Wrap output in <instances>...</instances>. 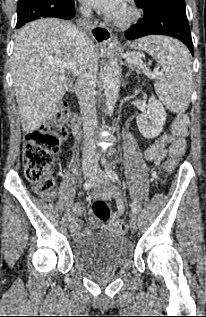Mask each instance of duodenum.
<instances>
[{"instance_id":"410a0bca","label":"duodenum","mask_w":206,"mask_h":317,"mask_svg":"<svg viewBox=\"0 0 206 317\" xmlns=\"http://www.w3.org/2000/svg\"><path fill=\"white\" fill-rule=\"evenodd\" d=\"M72 131L74 136H79L81 133V124L77 116H74L72 119Z\"/></svg>"}]
</instances>
